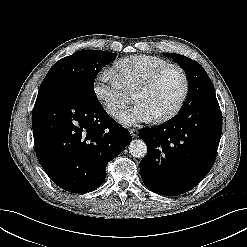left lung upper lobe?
Returning <instances> with one entry per match:
<instances>
[{"label":"left lung upper lobe","instance_id":"left-lung-upper-lobe-1","mask_svg":"<svg viewBox=\"0 0 247 247\" xmlns=\"http://www.w3.org/2000/svg\"><path fill=\"white\" fill-rule=\"evenodd\" d=\"M164 55L173 58L188 77L189 91L181 110L193 105L217 101L212 81L198 62L174 53H164Z\"/></svg>","mask_w":247,"mask_h":247}]
</instances>
